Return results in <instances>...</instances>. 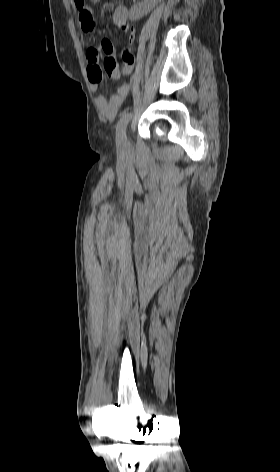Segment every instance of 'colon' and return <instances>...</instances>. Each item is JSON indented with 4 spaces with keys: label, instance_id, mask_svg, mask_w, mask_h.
<instances>
[{
    "label": "colon",
    "instance_id": "5ec220e1",
    "mask_svg": "<svg viewBox=\"0 0 280 472\" xmlns=\"http://www.w3.org/2000/svg\"><path fill=\"white\" fill-rule=\"evenodd\" d=\"M122 57L125 64L133 65L134 57L128 48L123 51ZM103 66H104V71L109 78L117 80L121 77L118 64L116 61L111 60V59H105Z\"/></svg>",
    "mask_w": 280,
    "mask_h": 472
}]
</instances>
